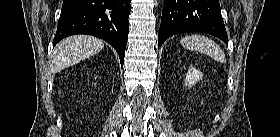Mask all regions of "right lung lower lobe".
I'll return each mask as SVG.
<instances>
[{"instance_id": "right-lung-lower-lobe-1", "label": "right lung lower lobe", "mask_w": 280, "mask_h": 137, "mask_svg": "<svg viewBox=\"0 0 280 137\" xmlns=\"http://www.w3.org/2000/svg\"><path fill=\"white\" fill-rule=\"evenodd\" d=\"M131 0H63L55 46L65 37L87 34L109 42L123 66Z\"/></svg>"}]
</instances>
